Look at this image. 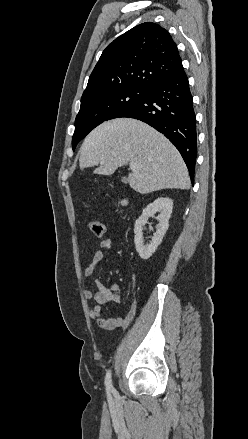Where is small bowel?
<instances>
[{"label":"small bowel","mask_w":248,"mask_h":439,"mask_svg":"<svg viewBox=\"0 0 248 439\" xmlns=\"http://www.w3.org/2000/svg\"><path fill=\"white\" fill-rule=\"evenodd\" d=\"M111 241L109 239H104L100 242V248L93 254L90 263L84 269V276L90 277L97 265L103 260L104 251L111 248ZM96 290L85 289L83 291L85 299L92 303L89 308V316L94 320L101 328L104 329H115L118 327H127L135 318L137 311V300L135 291V276H132V291L133 299L130 305L128 313L123 317H113L105 318L102 315L100 305H107L109 303H121L122 301V290L119 284L112 283L107 286L104 282L97 279L95 280Z\"/></svg>","instance_id":"c3829d8e"}]
</instances>
